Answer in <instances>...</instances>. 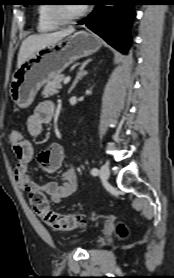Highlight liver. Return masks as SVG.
I'll return each instance as SVG.
<instances>
[{
	"label": "liver",
	"instance_id": "1",
	"mask_svg": "<svg viewBox=\"0 0 174 278\" xmlns=\"http://www.w3.org/2000/svg\"><path fill=\"white\" fill-rule=\"evenodd\" d=\"M74 31V27H68L67 29L53 33L28 36L21 44L18 54L17 68H19L30 56H32L40 48H43L50 44H54L62 38L71 35Z\"/></svg>",
	"mask_w": 174,
	"mask_h": 278
}]
</instances>
